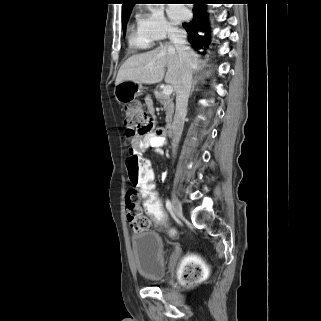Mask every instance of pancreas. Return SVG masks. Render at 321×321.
I'll return each instance as SVG.
<instances>
[{"mask_svg":"<svg viewBox=\"0 0 321 321\" xmlns=\"http://www.w3.org/2000/svg\"><path fill=\"white\" fill-rule=\"evenodd\" d=\"M154 94L159 103L163 105V109L166 112V122L170 123L174 113L173 99L170 96L163 94L160 90H155Z\"/></svg>","mask_w":321,"mask_h":321,"instance_id":"obj_1","label":"pancreas"}]
</instances>
